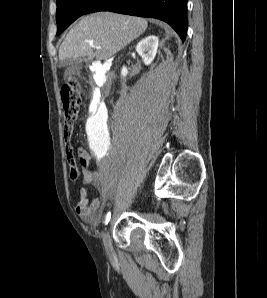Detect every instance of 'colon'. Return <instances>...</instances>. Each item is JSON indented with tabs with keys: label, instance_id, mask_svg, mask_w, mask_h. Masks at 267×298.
Here are the masks:
<instances>
[{
	"label": "colon",
	"instance_id": "colon-1",
	"mask_svg": "<svg viewBox=\"0 0 267 298\" xmlns=\"http://www.w3.org/2000/svg\"><path fill=\"white\" fill-rule=\"evenodd\" d=\"M61 98L64 109V138L66 140L67 163L71 179L76 180L80 175L78 162L82 167H86L87 160L83 153H79L77 158L73 147L69 143L71 128L76 120L81 103L80 85L75 79H69L62 86Z\"/></svg>",
	"mask_w": 267,
	"mask_h": 298
}]
</instances>
